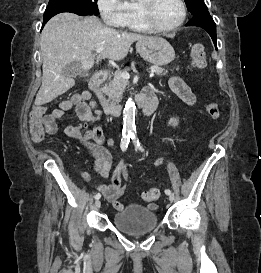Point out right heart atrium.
<instances>
[{
    "instance_id": "1",
    "label": "right heart atrium",
    "mask_w": 261,
    "mask_h": 273,
    "mask_svg": "<svg viewBox=\"0 0 261 273\" xmlns=\"http://www.w3.org/2000/svg\"><path fill=\"white\" fill-rule=\"evenodd\" d=\"M103 21L110 26L120 27L124 17L123 0H97Z\"/></svg>"
}]
</instances>
